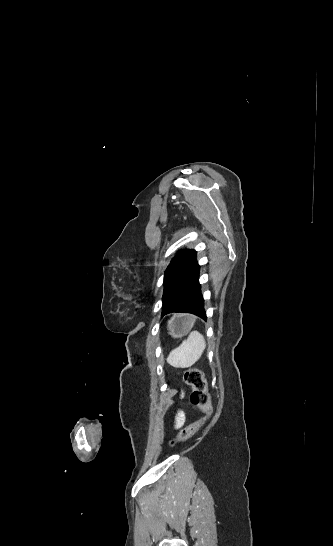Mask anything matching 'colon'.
Segmentation results:
<instances>
[{
	"label": "colon",
	"mask_w": 333,
	"mask_h": 546,
	"mask_svg": "<svg viewBox=\"0 0 333 546\" xmlns=\"http://www.w3.org/2000/svg\"><path fill=\"white\" fill-rule=\"evenodd\" d=\"M183 377L186 383L192 388L190 396L191 403L198 407L203 412L204 416L200 421L184 427L176 439L171 441V445L191 438L198 429L210 419L213 413L208 385L203 372L198 368H189L184 372Z\"/></svg>",
	"instance_id": "obj_1"
}]
</instances>
